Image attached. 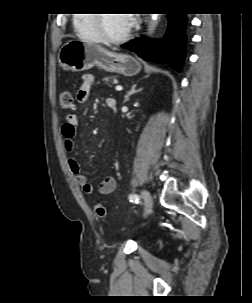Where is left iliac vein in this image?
<instances>
[{"label":"left iliac vein","mask_w":252,"mask_h":303,"mask_svg":"<svg viewBox=\"0 0 252 303\" xmlns=\"http://www.w3.org/2000/svg\"><path fill=\"white\" fill-rule=\"evenodd\" d=\"M141 197L144 201V204L146 206V211H145V215H148L149 212L152 210L153 208V199L152 196L150 195V193L146 190H143L141 193Z\"/></svg>","instance_id":"1"}]
</instances>
